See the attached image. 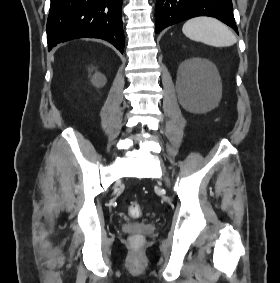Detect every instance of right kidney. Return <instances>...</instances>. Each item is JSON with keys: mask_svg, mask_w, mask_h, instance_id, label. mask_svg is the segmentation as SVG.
I'll return each mask as SVG.
<instances>
[{"mask_svg": "<svg viewBox=\"0 0 280 283\" xmlns=\"http://www.w3.org/2000/svg\"><path fill=\"white\" fill-rule=\"evenodd\" d=\"M94 81H95V82H98V83H100V82H105V77L102 76V75H97V76L94 78Z\"/></svg>", "mask_w": 280, "mask_h": 283, "instance_id": "1", "label": "right kidney"}]
</instances>
